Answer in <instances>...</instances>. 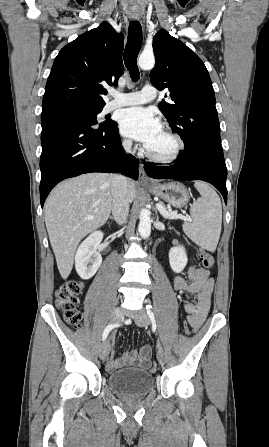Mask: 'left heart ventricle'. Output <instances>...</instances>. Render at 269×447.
I'll list each match as a JSON object with an SVG mask.
<instances>
[{"mask_svg":"<svg viewBox=\"0 0 269 447\" xmlns=\"http://www.w3.org/2000/svg\"><path fill=\"white\" fill-rule=\"evenodd\" d=\"M145 146L152 155L156 157H165L173 152L176 147V141L164 128H162Z\"/></svg>","mask_w":269,"mask_h":447,"instance_id":"b2bd125f","label":"left heart ventricle"}]
</instances>
